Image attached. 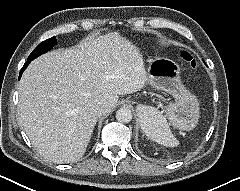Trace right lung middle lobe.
<instances>
[{
  "label": "right lung middle lobe",
  "mask_w": 240,
  "mask_h": 191,
  "mask_svg": "<svg viewBox=\"0 0 240 191\" xmlns=\"http://www.w3.org/2000/svg\"><path fill=\"white\" fill-rule=\"evenodd\" d=\"M56 44V38L55 36L43 41L40 43L34 50L33 52L29 55L27 62H31L41 54L46 53L48 50L52 49L53 46Z\"/></svg>",
  "instance_id": "right-lung-middle-lobe-1"
}]
</instances>
